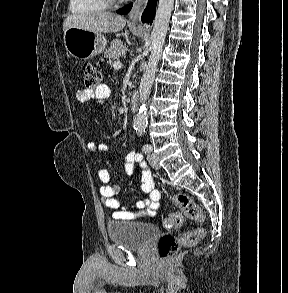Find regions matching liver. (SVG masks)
I'll return each instance as SVG.
<instances>
[{"label":"liver","instance_id":"liver-1","mask_svg":"<svg viewBox=\"0 0 288 293\" xmlns=\"http://www.w3.org/2000/svg\"><path fill=\"white\" fill-rule=\"evenodd\" d=\"M126 25V19L109 12H92L69 15L63 23V31L75 26L97 33H116Z\"/></svg>","mask_w":288,"mask_h":293}]
</instances>
